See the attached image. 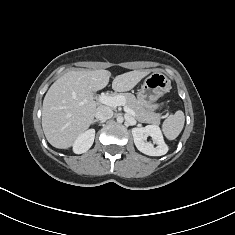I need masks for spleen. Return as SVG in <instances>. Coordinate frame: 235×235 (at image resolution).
Segmentation results:
<instances>
[{
    "label": "spleen",
    "instance_id": "1",
    "mask_svg": "<svg viewBox=\"0 0 235 235\" xmlns=\"http://www.w3.org/2000/svg\"><path fill=\"white\" fill-rule=\"evenodd\" d=\"M185 122L184 113L181 110L176 111L174 115L169 116L162 125V130L169 140H174L181 133Z\"/></svg>",
    "mask_w": 235,
    "mask_h": 235
}]
</instances>
